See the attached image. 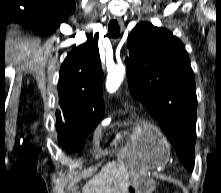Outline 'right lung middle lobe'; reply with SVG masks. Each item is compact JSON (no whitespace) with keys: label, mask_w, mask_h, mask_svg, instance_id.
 <instances>
[{"label":"right lung middle lobe","mask_w":221,"mask_h":193,"mask_svg":"<svg viewBox=\"0 0 221 193\" xmlns=\"http://www.w3.org/2000/svg\"><path fill=\"white\" fill-rule=\"evenodd\" d=\"M103 116H92L89 118L65 122L57 119V131L59 142L73 151L82 149L83 137L91 133Z\"/></svg>","instance_id":"right-lung-middle-lobe-1"}]
</instances>
